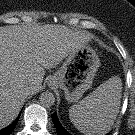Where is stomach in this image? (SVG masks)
I'll return each instance as SVG.
<instances>
[{"label":"stomach","mask_w":135,"mask_h":135,"mask_svg":"<svg viewBox=\"0 0 135 135\" xmlns=\"http://www.w3.org/2000/svg\"><path fill=\"white\" fill-rule=\"evenodd\" d=\"M99 67L96 51L87 44L83 45L68 56L49 80V85L62 89L68 102H78L91 87Z\"/></svg>","instance_id":"1"}]
</instances>
